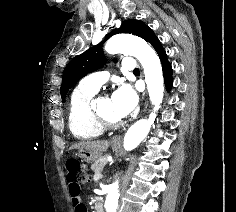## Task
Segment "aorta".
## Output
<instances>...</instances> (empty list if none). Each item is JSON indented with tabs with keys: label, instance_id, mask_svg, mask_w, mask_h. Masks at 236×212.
Listing matches in <instances>:
<instances>
[{
	"label": "aorta",
	"instance_id": "1",
	"mask_svg": "<svg viewBox=\"0 0 236 212\" xmlns=\"http://www.w3.org/2000/svg\"><path fill=\"white\" fill-rule=\"evenodd\" d=\"M105 49L109 54H130L139 60L144 69L150 101L154 105V112L148 118L135 122L126 132L123 146L125 150L130 151L148 135L156 118L155 112L160 108L164 94L162 67L157 54L150 45L136 36L116 34L108 40ZM119 197V185L115 181L106 188L104 205L106 212H117Z\"/></svg>",
	"mask_w": 236,
	"mask_h": 212
}]
</instances>
